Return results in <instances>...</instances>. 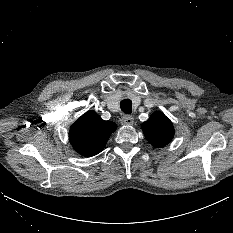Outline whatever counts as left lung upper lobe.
I'll return each mask as SVG.
<instances>
[{
	"instance_id": "obj_1",
	"label": "left lung upper lobe",
	"mask_w": 233,
	"mask_h": 233,
	"mask_svg": "<svg viewBox=\"0 0 233 233\" xmlns=\"http://www.w3.org/2000/svg\"><path fill=\"white\" fill-rule=\"evenodd\" d=\"M142 129L146 139L158 148L168 144L174 136L172 122L161 112L153 113L142 124Z\"/></svg>"
}]
</instances>
